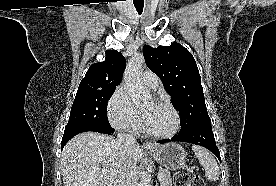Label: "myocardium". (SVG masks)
Returning a JSON list of instances; mask_svg holds the SVG:
<instances>
[{
  "mask_svg": "<svg viewBox=\"0 0 276 186\" xmlns=\"http://www.w3.org/2000/svg\"><path fill=\"white\" fill-rule=\"evenodd\" d=\"M154 102L167 106L173 112V114L175 116V125H174L173 129L169 132L155 133V132L150 131L146 127L144 120H142L143 132L146 135H148L149 137L156 138V139H167V138L173 137L179 131V129L181 127V117H180L178 110L175 108V106L170 101H168L165 98H157L154 100Z\"/></svg>",
  "mask_w": 276,
  "mask_h": 186,
  "instance_id": "obj_1",
  "label": "myocardium"
}]
</instances>
